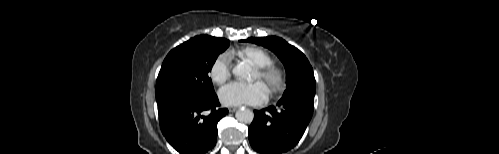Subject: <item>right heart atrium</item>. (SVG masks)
I'll return each mask as SVG.
<instances>
[{
  "mask_svg": "<svg viewBox=\"0 0 499 154\" xmlns=\"http://www.w3.org/2000/svg\"><path fill=\"white\" fill-rule=\"evenodd\" d=\"M231 75V64L226 56H218L212 63L209 76L218 85L223 84Z\"/></svg>",
  "mask_w": 499,
  "mask_h": 154,
  "instance_id": "1",
  "label": "right heart atrium"
}]
</instances>
